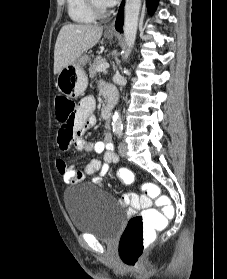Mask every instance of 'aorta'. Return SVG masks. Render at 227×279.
Masks as SVG:
<instances>
[{"instance_id": "762f6f07", "label": "aorta", "mask_w": 227, "mask_h": 279, "mask_svg": "<svg viewBox=\"0 0 227 279\" xmlns=\"http://www.w3.org/2000/svg\"><path fill=\"white\" fill-rule=\"evenodd\" d=\"M141 8V0H126L124 10V39L127 46L124 57L127 58L131 48L133 47L137 34V27L139 21V13ZM113 129H120L122 127L121 116L118 111L113 115L112 120Z\"/></svg>"}]
</instances>
